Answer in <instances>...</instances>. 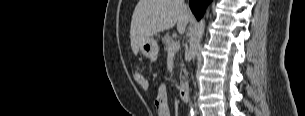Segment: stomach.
<instances>
[{
  "label": "stomach",
  "mask_w": 305,
  "mask_h": 116,
  "mask_svg": "<svg viewBox=\"0 0 305 116\" xmlns=\"http://www.w3.org/2000/svg\"><path fill=\"white\" fill-rule=\"evenodd\" d=\"M140 52L152 62L156 61L159 54L157 41L153 37H149L141 44Z\"/></svg>",
  "instance_id": "obj_1"
}]
</instances>
